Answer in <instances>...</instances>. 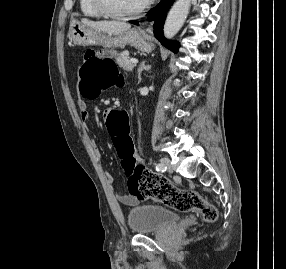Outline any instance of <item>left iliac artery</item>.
Wrapping results in <instances>:
<instances>
[{
  "mask_svg": "<svg viewBox=\"0 0 286 269\" xmlns=\"http://www.w3.org/2000/svg\"><path fill=\"white\" fill-rule=\"evenodd\" d=\"M156 170L160 171V172H165L166 171V166H164L163 164L159 163L156 165Z\"/></svg>",
  "mask_w": 286,
  "mask_h": 269,
  "instance_id": "44dca946",
  "label": "left iliac artery"
}]
</instances>
